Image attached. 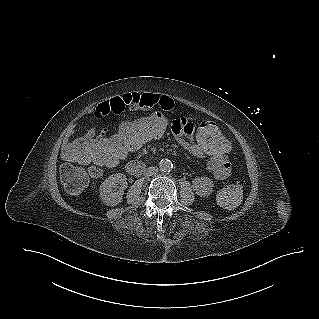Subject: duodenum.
Segmentation results:
<instances>
[{"instance_id":"duodenum-1","label":"duodenum","mask_w":319,"mask_h":319,"mask_svg":"<svg viewBox=\"0 0 319 319\" xmlns=\"http://www.w3.org/2000/svg\"><path fill=\"white\" fill-rule=\"evenodd\" d=\"M126 170L129 174L137 176L144 173L147 170V167L141 162L131 161L127 164Z\"/></svg>"}]
</instances>
